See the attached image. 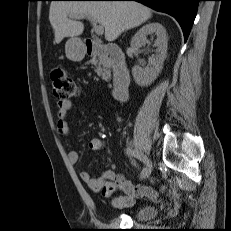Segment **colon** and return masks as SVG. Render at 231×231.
I'll use <instances>...</instances> for the list:
<instances>
[{
  "label": "colon",
  "mask_w": 231,
  "mask_h": 231,
  "mask_svg": "<svg viewBox=\"0 0 231 231\" xmlns=\"http://www.w3.org/2000/svg\"><path fill=\"white\" fill-rule=\"evenodd\" d=\"M53 93L61 101H69L79 95V87L74 78L63 68L51 70Z\"/></svg>",
  "instance_id": "obj_1"
}]
</instances>
